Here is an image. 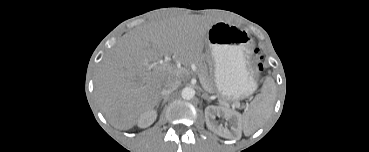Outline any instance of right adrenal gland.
I'll list each match as a JSON object with an SVG mask.
<instances>
[{
	"instance_id": "obj_1",
	"label": "right adrenal gland",
	"mask_w": 369,
	"mask_h": 152,
	"mask_svg": "<svg viewBox=\"0 0 369 152\" xmlns=\"http://www.w3.org/2000/svg\"><path fill=\"white\" fill-rule=\"evenodd\" d=\"M163 99V102H162V106L167 102V100H168V96H166V97H161L160 99H159V101H158V103H157V105H156V107H158L159 106V104L161 103V100Z\"/></svg>"
}]
</instances>
